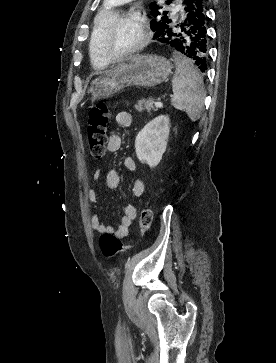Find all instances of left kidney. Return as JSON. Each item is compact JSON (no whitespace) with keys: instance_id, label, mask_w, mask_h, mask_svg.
<instances>
[{"instance_id":"left-kidney-1","label":"left kidney","mask_w":276,"mask_h":363,"mask_svg":"<svg viewBox=\"0 0 276 363\" xmlns=\"http://www.w3.org/2000/svg\"><path fill=\"white\" fill-rule=\"evenodd\" d=\"M170 132V120L167 115H161L150 122L137 134L135 152L141 163L156 167L166 150Z\"/></svg>"}]
</instances>
